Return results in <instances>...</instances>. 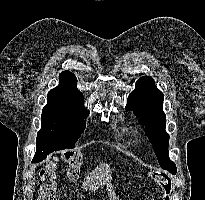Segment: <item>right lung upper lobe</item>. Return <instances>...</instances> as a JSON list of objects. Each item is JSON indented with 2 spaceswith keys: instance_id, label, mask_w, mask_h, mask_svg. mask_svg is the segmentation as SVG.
Here are the masks:
<instances>
[{
  "instance_id": "cb5924a9",
  "label": "right lung upper lobe",
  "mask_w": 205,
  "mask_h": 200,
  "mask_svg": "<svg viewBox=\"0 0 205 200\" xmlns=\"http://www.w3.org/2000/svg\"><path fill=\"white\" fill-rule=\"evenodd\" d=\"M76 85H77V78L72 72L64 71L59 74V87L68 88L81 93L78 90Z\"/></svg>"
}]
</instances>
